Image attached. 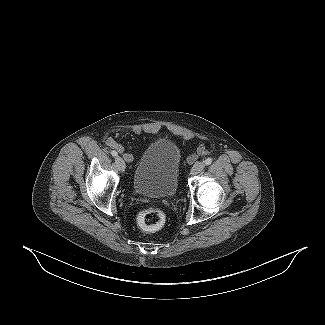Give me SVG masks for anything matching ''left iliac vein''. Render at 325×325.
<instances>
[{"label":"left iliac vein","mask_w":325,"mask_h":325,"mask_svg":"<svg viewBox=\"0 0 325 325\" xmlns=\"http://www.w3.org/2000/svg\"><path fill=\"white\" fill-rule=\"evenodd\" d=\"M204 168H205L204 162H196L191 169V174L196 175L200 173Z\"/></svg>","instance_id":"1"}]
</instances>
